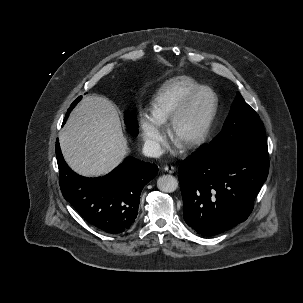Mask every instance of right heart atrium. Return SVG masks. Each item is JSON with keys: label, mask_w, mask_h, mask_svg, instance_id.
Here are the masks:
<instances>
[{"label": "right heart atrium", "mask_w": 303, "mask_h": 303, "mask_svg": "<svg viewBox=\"0 0 303 303\" xmlns=\"http://www.w3.org/2000/svg\"><path fill=\"white\" fill-rule=\"evenodd\" d=\"M139 122L142 137L148 150L152 154H158L162 149L165 138V131L162 124L146 112H141Z\"/></svg>", "instance_id": "obj_1"}]
</instances>
